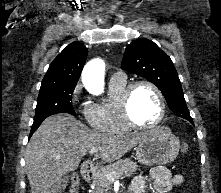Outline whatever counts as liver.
<instances>
[{
	"label": "liver",
	"instance_id": "obj_1",
	"mask_svg": "<svg viewBox=\"0 0 221 193\" xmlns=\"http://www.w3.org/2000/svg\"><path fill=\"white\" fill-rule=\"evenodd\" d=\"M151 132L105 134L91 130L75 117L58 114L46 118L31 137L25 152L31 193H60L59 184L76 170L92 148L105 162L115 161Z\"/></svg>",
	"mask_w": 221,
	"mask_h": 193
}]
</instances>
